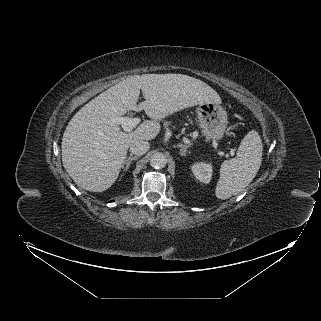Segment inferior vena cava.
<instances>
[{
	"label": "inferior vena cava",
	"mask_w": 321,
	"mask_h": 321,
	"mask_svg": "<svg viewBox=\"0 0 321 321\" xmlns=\"http://www.w3.org/2000/svg\"><path fill=\"white\" fill-rule=\"evenodd\" d=\"M150 148V144L146 140H137L130 145V152L136 156L145 154Z\"/></svg>",
	"instance_id": "602c4592"
}]
</instances>
